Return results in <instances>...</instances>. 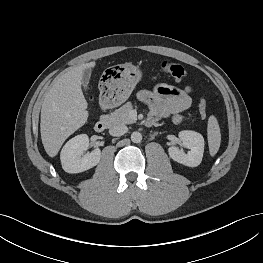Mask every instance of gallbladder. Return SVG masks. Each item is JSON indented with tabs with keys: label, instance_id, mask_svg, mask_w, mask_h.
<instances>
[{
	"label": "gallbladder",
	"instance_id": "gallbladder-1",
	"mask_svg": "<svg viewBox=\"0 0 263 263\" xmlns=\"http://www.w3.org/2000/svg\"><path fill=\"white\" fill-rule=\"evenodd\" d=\"M90 76H91V69L90 68H86L83 72V78H82V85L84 87V89L86 90V87L89 83L90 80Z\"/></svg>",
	"mask_w": 263,
	"mask_h": 263
}]
</instances>
